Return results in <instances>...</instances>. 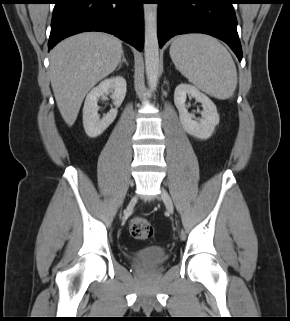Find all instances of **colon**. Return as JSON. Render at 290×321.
Segmentation results:
<instances>
[{
    "mask_svg": "<svg viewBox=\"0 0 290 321\" xmlns=\"http://www.w3.org/2000/svg\"><path fill=\"white\" fill-rule=\"evenodd\" d=\"M129 231L132 237L140 240L148 239L153 235V228L150 222L140 216L131 219Z\"/></svg>",
    "mask_w": 290,
    "mask_h": 321,
    "instance_id": "obj_1",
    "label": "colon"
}]
</instances>
